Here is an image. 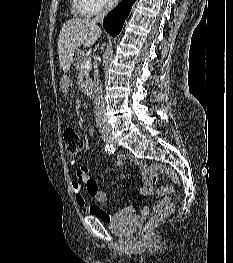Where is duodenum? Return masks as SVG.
Returning <instances> with one entry per match:
<instances>
[{
	"instance_id": "obj_1",
	"label": "duodenum",
	"mask_w": 233,
	"mask_h": 263,
	"mask_svg": "<svg viewBox=\"0 0 233 263\" xmlns=\"http://www.w3.org/2000/svg\"><path fill=\"white\" fill-rule=\"evenodd\" d=\"M84 83H85L84 91L85 92H92L93 88L90 85L93 84V79L92 78H84Z\"/></svg>"
}]
</instances>
